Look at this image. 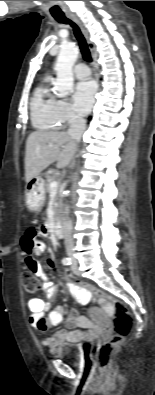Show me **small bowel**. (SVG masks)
<instances>
[{
    "label": "small bowel",
    "instance_id": "1",
    "mask_svg": "<svg viewBox=\"0 0 155 395\" xmlns=\"http://www.w3.org/2000/svg\"><path fill=\"white\" fill-rule=\"evenodd\" d=\"M44 229L41 227H33L29 229L21 239L22 252L28 256L32 250L36 253L44 249L42 235ZM33 272L40 278L42 289L46 293L47 301L40 298H32L28 301V309L31 312L29 317L30 325L35 329L36 333L42 337V345L49 349H54L57 345L63 342L78 343L92 339L100 330V326L94 327L93 321L85 316L80 315L77 311H72L66 320V328L56 332L51 337H46V333L50 327H56L61 324L63 320V307L57 306L53 309L47 317L44 313L49 308V303L54 301L58 293V286L55 285L50 278L43 272L41 266L32 258ZM68 291L82 304L88 303L92 296L91 292H87L86 288H80L79 285L68 284L66 285ZM100 297V296H98ZM101 311L106 313L111 312V306L107 300L100 297ZM98 317L101 324L104 323L103 313L93 311Z\"/></svg>",
    "mask_w": 155,
    "mask_h": 395
}]
</instances>
